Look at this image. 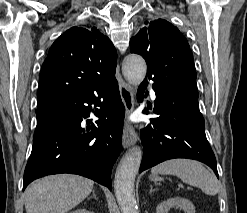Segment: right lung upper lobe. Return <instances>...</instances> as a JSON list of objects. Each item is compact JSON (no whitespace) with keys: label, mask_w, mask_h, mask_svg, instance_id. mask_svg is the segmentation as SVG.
Instances as JSON below:
<instances>
[{"label":"right lung upper lobe","mask_w":247,"mask_h":213,"mask_svg":"<svg viewBox=\"0 0 247 213\" xmlns=\"http://www.w3.org/2000/svg\"><path fill=\"white\" fill-rule=\"evenodd\" d=\"M117 53L95 27H72L51 46L39 76L38 104L65 93H88L115 79Z\"/></svg>","instance_id":"right-lung-upper-lobe-1"}]
</instances>
